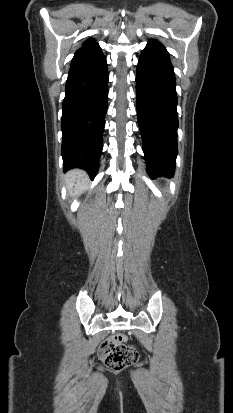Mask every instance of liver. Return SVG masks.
I'll return each instance as SVG.
<instances>
[{"label": "liver", "mask_w": 233, "mask_h": 413, "mask_svg": "<svg viewBox=\"0 0 233 413\" xmlns=\"http://www.w3.org/2000/svg\"><path fill=\"white\" fill-rule=\"evenodd\" d=\"M88 183L86 173L81 170H72L67 174L66 184L70 194L73 193L75 196L81 194L87 188Z\"/></svg>", "instance_id": "6515ba94"}]
</instances>
